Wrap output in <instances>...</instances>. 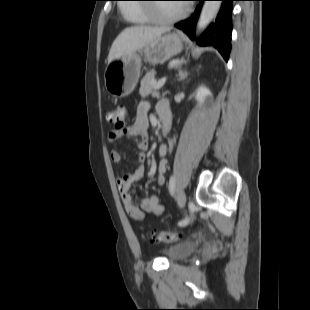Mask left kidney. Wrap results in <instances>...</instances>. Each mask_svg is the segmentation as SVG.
Returning <instances> with one entry per match:
<instances>
[{
  "label": "left kidney",
  "instance_id": "5707ae66",
  "mask_svg": "<svg viewBox=\"0 0 310 310\" xmlns=\"http://www.w3.org/2000/svg\"><path fill=\"white\" fill-rule=\"evenodd\" d=\"M210 95H211L210 90L205 86H200L194 94L195 99L199 103H201L205 98L209 97Z\"/></svg>",
  "mask_w": 310,
  "mask_h": 310
}]
</instances>
